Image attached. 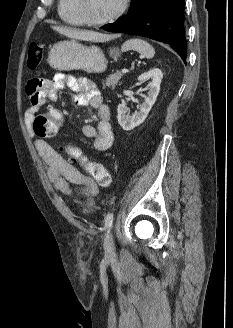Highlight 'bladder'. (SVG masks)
I'll return each mask as SVG.
<instances>
[{
	"label": "bladder",
	"instance_id": "31cf9c89",
	"mask_svg": "<svg viewBox=\"0 0 233 328\" xmlns=\"http://www.w3.org/2000/svg\"><path fill=\"white\" fill-rule=\"evenodd\" d=\"M78 208L83 215L90 216L95 211V203L91 199H86L79 203Z\"/></svg>",
	"mask_w": 233,
	"mask_h": 328
}]
</instances>
